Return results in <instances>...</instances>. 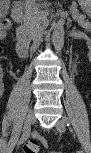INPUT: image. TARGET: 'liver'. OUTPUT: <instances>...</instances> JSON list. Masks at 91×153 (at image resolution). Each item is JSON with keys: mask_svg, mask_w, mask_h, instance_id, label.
<instances>
[{"mask_svg": "<svg viewBox=\"0 0 91 153\" xmlns=\"http://www.w3.org/2000/svg\"><path fill=\"white\" fill-rule=\"evenodd\" d=\"M3 2H4L5 4H8V0H5V1H3ZM26 5H30V6H31L30 9H34L33 13H37L35 1L30 0V1H28V2L26 3Z\"/></svg>", "mask_w": 91, "mask_h": 153, "instance_id": "6515ba94", "label": "liver"}]
</instances>
